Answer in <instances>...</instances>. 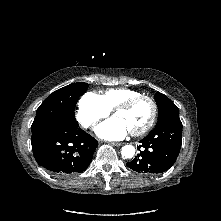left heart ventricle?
<instances>
[{
	"mask_svg": "<svg viewBox=\"0 0 221 221\" xmlns=\"http://www.w3.org/2000/svg\"><path fill=\"white\" fill-rule=\"evenodd\" d=\"M152 106L148 100H140L128 110L118 111L114 116L122 120L130 132L137 131L150 120Z\"/></svg>",
	"mask_w": 221,
	"mask_h": 221,
	"instance_id": "b2bd125f",
	"label": "left heart ventricle"
}]
</instances>
